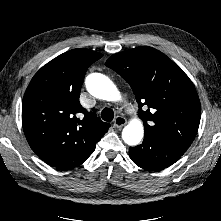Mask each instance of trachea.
<instances>
[{
	"instance_id": "1",
	"label": "trachea",
	"mask_w": 221,
	"mask_h": 221,
	"mask_svg": "<svg viewBox=\"0 0 221 221\" xmlns=\"http://www.w3.org/2000/svg\"><path fill=\"white\" fill-rule=\"evenodd\" d=\"M101 117L104 121L111 122L114 118V112L110 108H104L101 112Z\"/></svg>"
}]
</instances>
